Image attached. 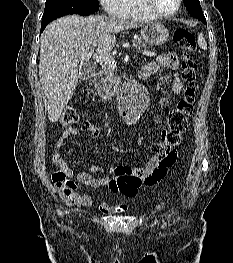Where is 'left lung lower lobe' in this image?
Masks as SVG:
<instances>
[{
  "label": "left lung lower lobe",
  "mask_w": 233,
  "mask_h": 263,
  "mask_svg": "<svg viewBox=\"0 0 233 263\" xmlns=\"http://www.w3.org/2000/svg\"><path fill=\"white\" fill-rule=\"evenodd\" d=\"M203 23H205L206 24V19H204V22Z\"/></svg>",
  "instance_id": "1"
}]
</instances>
